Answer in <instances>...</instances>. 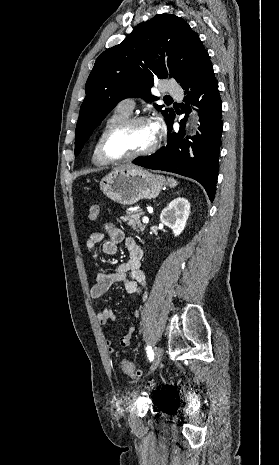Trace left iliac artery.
<instances>
[{"instance_id": "44dca946", "label": "left iliac artery", "mask_w": 279, "mask_h": 465, "mask_svg": "<svg viewBox=\"0 0 279 465\" xmlns=\"http://www.w3.org/2000/svg\"><path fill=\"white\" fill-rule=\"evenodd\" d=\"M147 354H148L149 360L152 361L153 358H154V353H153V350H152L151 346L147 347Z\"/></svg>"}]
</instances>
